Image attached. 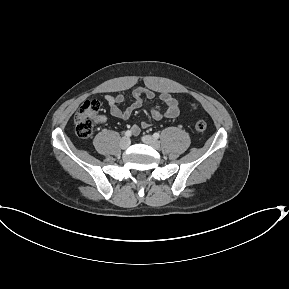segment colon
<instances>
[{"label": "colon", "mask_w": 289, "mask_h": 289, "mask_svg": "<svg viewBox=\"0 0 289 289\" xmlns=\"http://www.w3.org/2000/svg\"><path fill=\"white\" fill-rule=\"evenodd\" d=\"M100 103L96 100L85 101L74 117L75 132L80 138H87L91 135L94 125L100 112ZM207 128L204 120L195 123V130L203 133Z\"/></svg>", "instance_id": "1"}]
</instances>
